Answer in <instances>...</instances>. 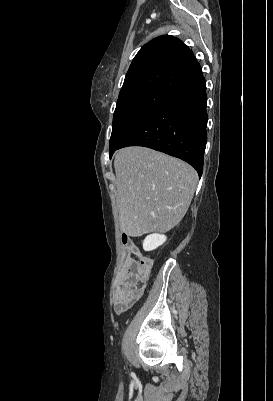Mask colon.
<instances>
[{
  "instance_id": "1",
  "label": "colon",
  "mask_w": 273,
  "mask_h": 401,
  "mask_svg": "<svg viewBox=\"0 0 273 401\" xmlns=\"http://www.w3.org/2000/svg\"><path fill=\"white\" fill-rule=\"evenodd\" d=\"M125 256L127 258L118 269L121 278L117 280V285L121 288H114L113 295L114 297H142L143 287L135 282H147L151 274L152 259L151 257H131V250H126Z\"/></svg>"
}]
</instances>
